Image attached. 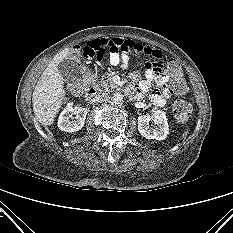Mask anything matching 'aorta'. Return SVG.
<instances>
[{"mask_svg": "<svg viewBox=\"0 0 233 233\" xmlns=\"http://www.w3.org/2000/svg\"><path fill=\"white\" fill-rule=\"evenodd\" d=\"M111 100L115 105H122L124 102V95L121 93H114Z\"/></svg>", "mask_w": 233, "mask_h": 233, "instance_id": "1", "label": "aorta"}]
</instances>
